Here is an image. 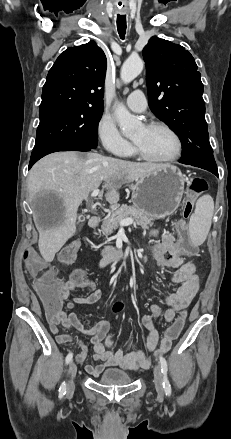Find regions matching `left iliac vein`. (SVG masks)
Segmentation results:
<instances>
[{
    "instance_id": "4c4485c4",
    "label": "left iliac vein",
    "mask_w": 231,
    "mask_h": 439,
    "mask_svg": "<svg viewBox=\"0 0 231 439\" xmlns=\"http://www.w3.org/2000/svg\"><path fill=\"white\" fill-rule=\"evenodd\" d=\"M154 383L158 396L162 397L164 394L163 379H162V371L158 364L154 366Z\"/></svg>"
}]
</instances>
